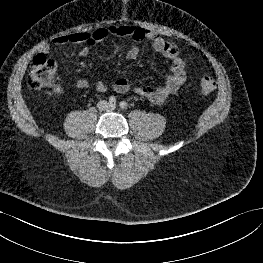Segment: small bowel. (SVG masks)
<instances>
[{
  "label": "small bowel",
  "instance_id": "small-bowel-1",
  "mask_svg": "<svg viewBox=\"0 0 263 263\" xmlns=\"http://www.w3.org/2000/svg\"><path fill=\"white\" fill-rule=\"evenodd\" d=\"M130 38L134 44L128 49L127 55L129 58H136L139 53L137 43L142 41L150 42L152 48L157 53L163 55L171 63V73L167 77L165 83L159 87L149 86H134L128 78H120L113 84V89L117 93L134 92L135 94L144 97L154 104H162L171 95L175 94L179 88L185 83L187 78V69L184 60L179 55V49L175 42L166 40L158 34L133 25H113L106 28H100L93 32H76L69 35H63L55 38L51 44H45L41 47V52L48 53L52 47H59L66 44H81L83 45L80 55L86 56L91 47L108 39L109 37ZM89 82L80 78L76 81L75 86L79 90L86 89ZM98 92L106 93L108 87L102 82L96 83ZM62 89L59 86L54 88V92L59 95Z\"/></svg>",
  "mask_w": 263,
  "mask_h": 263
}]
</instances>
